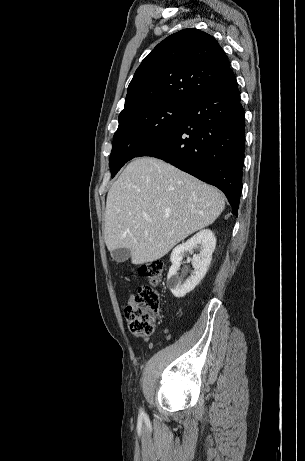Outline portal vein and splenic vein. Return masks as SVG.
<instances>
[{"instance_id":"portal-vein-and-splenic-vein-1","label":"portal vein and splenic vein","mask_w":305,"mask_h":461,"mask_svg":"<svg viewBox=\"0 0 305 461\" xmlns=\"http://www.w3.org/2000/svg\"><path fill=\"white\" fill-rule=\"evenodd\" d=\"M143 217H144L146 220H148V221H151V219H150L149 215H147V214H144V215H143Z\"/></svg>"}]
</instances>
